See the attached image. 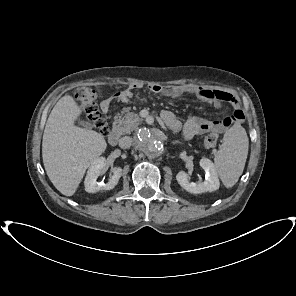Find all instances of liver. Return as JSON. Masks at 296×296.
<instances>
[{
  "mask_svg": "<svg viewBox=\"0 0 296 296\" xmlns=\"http://www.w3.org/2000/svg\"><path fill=\"white\" fill-rule=\"evenodd\" d=\"M81 113L72 96H63L52 109L43 134L42 157L46 173L65 196L76 192L86 169L107 148L102 134L74 125Z\"/></svg>",
  "mask_w": 296,
  "mask_h": 296,
  "instance_id": "6515ba94",
  "label": "liver"
}]
</instances>
